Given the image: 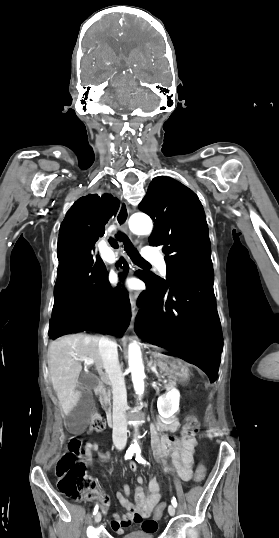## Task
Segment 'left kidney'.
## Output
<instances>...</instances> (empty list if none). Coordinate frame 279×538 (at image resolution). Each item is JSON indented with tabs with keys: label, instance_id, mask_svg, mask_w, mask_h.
I'll return each instance as SVG.
<instances>
[{
	"label": "left kidney",
	"instance_id": "left-kidney-1",
	"mask_svg": "<svg viewBox=\"0 0 279 538\" xmlns=\"http://www.w3.org/2000/svg\"><path fill=\"white\" fill-rule=\"evenodd\" d=\"M180 392L176 388H172L170 392H166L158 398L157 408L162 418H171L179 410Z\"/></svg>",
	"mask_w": 279,
	"mask_h": 538
}]
</instances>
